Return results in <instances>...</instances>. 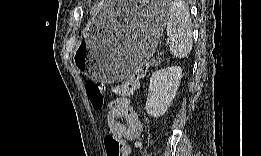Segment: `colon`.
<instances>
[{"label": "colon", "instance_id": "obj_1", "mask_svg": "<svg viewBox=\"0 0 261 156\" xmlns=\"http://www.w3.org/2000/svg\"><path fill=\"white\" fill-rule=\"evenodd\" d=\"M153 64H146L143 67L137 69L125 82L122 84L112 87L111 92L119 95H130L132 94L139 85L140 80L144 77L147 70ZM87 96L94 109L100 110L104 106V99L108 92L104 84L96 81H88L85 85ZM104 148L106 156H122V144L114 136L108 134L104 139Z\"/></svg>", "mask_w": 261, "mask_h": 156}]
</instances>
